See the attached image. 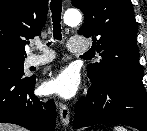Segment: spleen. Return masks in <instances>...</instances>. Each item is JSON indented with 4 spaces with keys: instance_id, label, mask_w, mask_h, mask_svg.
I'll use <instances>...</instances> for the list:
<instances>
[{
    "instance_id": "1",
    "label": "spleen",
    "mask_w": 147,
    "mask_h": 131,
    "mask_svg": "<svg viewBox=\"0 0 147 131\" xmlns=\"http://www.w3.org/2000/svg\"><path fill=\"white\" fill-rule=\"evenodd\" d=\"M114 131H127V130L122 126H116L114 127Z\"/></svg>"
}]
</instances>
